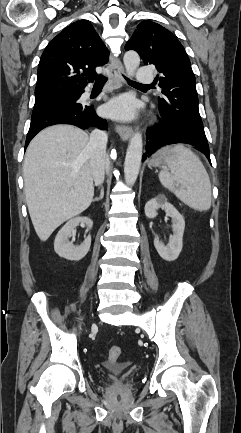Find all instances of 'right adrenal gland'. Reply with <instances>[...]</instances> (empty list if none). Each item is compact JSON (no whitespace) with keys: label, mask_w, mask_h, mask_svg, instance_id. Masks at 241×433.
Wrapping results in <instances>:
<instances>
[{"label":"right adrenal gland","mask_w":241,"mask_h":433,"mask_svg":"<svg viewBox=\"0 0 241 433\" xmlns=\"http://www.w3.org/2000/svg\"><path fill=\"white\" fill-rule=\"evenodd\" d=\"M103 197H104V189H103V187H102L101 190H100V196H99V197H95V198L93 199V201H99V200H102Z\"/></svg>","instance_id":"2a0ac1e0"}]
</instances>
